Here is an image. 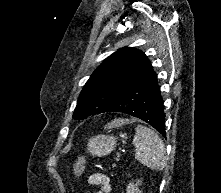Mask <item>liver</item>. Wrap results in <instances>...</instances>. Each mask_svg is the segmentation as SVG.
Returning <instances> with one entry per match:
<instances>
[{
  "label": "liver",
  "instance_id": "obj_1",
  "mask_svg": "<svg viewBox=\"0 0 221 193\" xmlns=\"http://www.w3.org/2000/svg\"><path fill=\"white\" fill-rule=\"evenodd\" d=\"M126 122H128L127 120H122V119H118V120H114L112 121L111 123H109L107 125L108 128H111V127H119L123 124H125Z\"/></svg>",
  "mask_w": 221,
  "mask_h": 193
}]
</instances>
